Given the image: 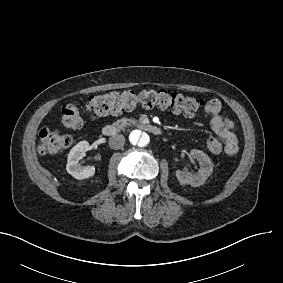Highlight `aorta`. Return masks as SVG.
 <instances>
[{
	"instance_id": "aorta-1",
	"label": "aorta",
	"mask_w": 283,
	"mask_h": 283,
	"mask_svg": "<svg viewBox=\"0 0 283 283\" xmlns=\"http://www.w3.org/2000/svg\"><path fill=\"white\" fill-rule=\"evenodd\" d=\"M129 141L132 145L138 147H146L150 143V136L139 129L131 131Z\"/></svg>"
}]
</instances>
